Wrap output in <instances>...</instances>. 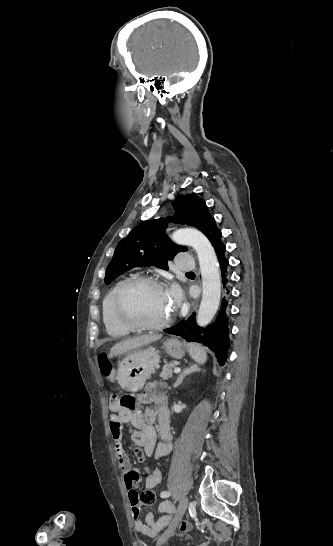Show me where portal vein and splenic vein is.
<instances>
[{
    "label": "portal vein and splenic vein",
    "instance_id": "18ae733b",
    "mask_svg": "<svg viewBox=\"0 0 333 546\" xmlns=\"http://www.w3.org/2000/svg\"><path fill=\"white\" fill-rule=\"evenodd\" d=\"M180 372H181V369H180V368H178V367H177V368H174V373L177 374V373H180Z\"/></svg>",
    "mask_w": 333,
    "mask_h": 546
}]
</instances>
